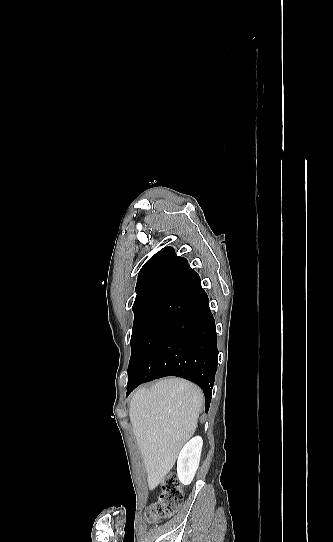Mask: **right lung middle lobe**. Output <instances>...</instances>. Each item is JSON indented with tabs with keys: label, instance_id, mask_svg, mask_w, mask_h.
Here are the masks:
<instances>
[{
	"label": "right lung middle lobe",
	"instance_id": "right-lung-middle-lobe-1",
	"mask_svg": "<svg viewBox=\"0 0 333 542\" xmlns=\"http://www.w3.org/2000/svg\"><path fill=\"white\" fill-rule=\"evenodd\" d=\"M160 300L161 299L154 300V301L133 307L135 317H134V324H133L132 337H131L132 354H131L130 362H132L135 357L137 341L143 330L146 320Z\"/></svg>",
	"mask_w": 333,
	"mask_h": 542
}]
</instances>
